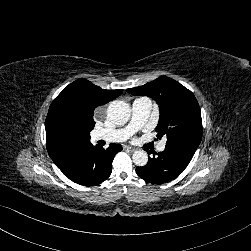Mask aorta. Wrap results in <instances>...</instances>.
Here are the masks:
<instances>
[{"label":"aorta","instance_id":"aorta-1","mask_svg":"<svg viewBox=\"0 0 251 251\" xmlns=\"http://www.w3.org/2000/svg\"><path fill=\"white\" fill-rule=\"evenodd\" d=\"M131 108L128 103L114 100L107 109V118L116 125H124L130 118ZM135 165L145 166L148 162V154L144 150H136L132 155Z\"/></svg>","mask_w":251,"mask_h":251}]
</instances>
